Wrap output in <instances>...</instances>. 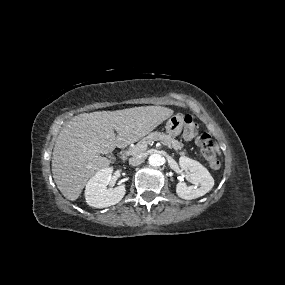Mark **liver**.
Returning <instances> with one entry per match:
<instances>
[{"mask_svg": "<svg viewBox=\"0 0 285 285\" xmlns=\"http://www.w3.org/2000/svg\"><path fill=\"white\" fill-rule=\"evenodd\" d=\"M173 112L162 106H141L71 118L60 131L52 156V174L60 192L75 201L88 179L110 165L100 154L137 142Z\"/></svg>", "mask_w": 285, "mask_h": 285, "instance_id": "obj_1", "label": "liver"}]
</instances>
